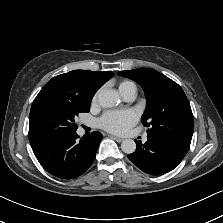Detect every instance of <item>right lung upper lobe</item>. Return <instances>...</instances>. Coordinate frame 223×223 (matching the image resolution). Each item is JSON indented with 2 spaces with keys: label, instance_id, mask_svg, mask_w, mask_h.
Listing matches in <instances>:
<instances>
[{
  "label": "right lung upper lobe",
  "instance_id": "1",
  "mask_svg": "<svg viewBox=\"0 0 223 223\" xmlns=\"http://www.w3.org/2000/svg\"><path fill=\"white\" fill-rule=\"evenodd\" d=\"M113 75L110 71L73 70L53 77L40 93H52L81 104H90L96 91Z\"/></svg>",
  "mask_w": 223,
  "mask_h": 223
}]
</instances>
